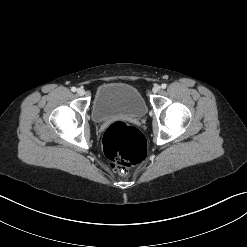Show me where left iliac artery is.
<instances>
[{"instance_id": "1", "label": "left iliac artery", "mask_w": 247, "mask_h": 247, "mask_svg": "<svg viewBox=\"0 0 247 247\" xmlns=\"http://www.w3.org/2000/svg\"><path fill=\"white\" fill-rule=\"evenodd\" d=\"M167 87V85L165 84V83H163L162 85H161V88L162 89H165Z\"/></svg>"}]
</instances>
